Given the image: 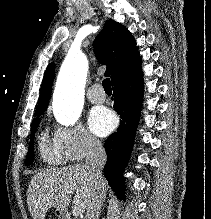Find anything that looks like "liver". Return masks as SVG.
<instances>
[{
    "instance_id": "6515ba94",
    "label": "liver",
    "mask_w": 211,
    "mask_h": 219,
    "mask_svg": "<svg viewBox=\"0 0 211 219\" xmlns=\"http://www.w3.org/2000/svg\"><path fill=\"white\" fill-rule=\"evenodd\" d=\"M106 191V181L104 185ZM82 211L87 210L94 198V183L84 164L51 168L32 177L27 204L33 219H45L50 208L64 210L71 202Z\"/></svg>"
}]
</instances>
